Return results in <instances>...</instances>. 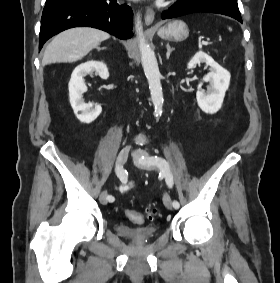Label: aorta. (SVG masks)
Segmentation results:
<instances>
[{
	"label": "aorta",
	"mask_w": 280,
	"mask_h": 283,
	"mask_svg": "<svg viewBox=\"0 0 280 283\" xmlns=\"http://www.w3.org/2000/svg\"><path fill=\"white\" fill-rule=\"evenodd\" d=\"M136 33L139 39L141 62L145 76L148 80L151 100L154 106V113L156 114V116H158L161 115L163 107V92L160 81L161 74L159 71L155 53L145 40L140 15H137L136 18Z\"/></svg>",
	"instance_id": "obj_1"
}]
</instances>
